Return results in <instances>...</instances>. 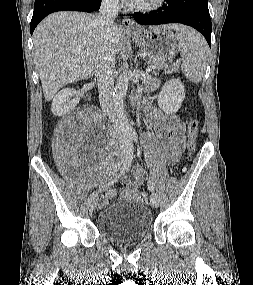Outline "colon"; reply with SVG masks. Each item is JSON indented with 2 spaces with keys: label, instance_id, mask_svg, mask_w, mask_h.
<instances>
[{
  "label": "colon",
  "instance_id": "obj_1",
  "mask_svg": "<svg viewBox=\"0 0 253 285\" xmlns=\"http://www.w3.org/2000/svg\"><path fill=\"white\" fill-rule=\"evenodd\" d=\"M187 134H188V145H187V152H188V159L191 158L192 153L195 150L196 147V139H197V135H198V122L193 119L188 123V127H187ZM139 201L141 203H147L148 201V194L146 192H141L139 194ZM107 200H104V203H106Z\"/></svg>",
  "mask_w": 253,
  "mask_h": 285
}]
</instances>
